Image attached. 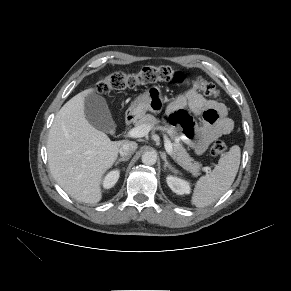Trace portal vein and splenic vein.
Returning a JSON list of instances; mask_svg holds the SVG:
<instances>
[{
    "instance_id": "1",
    "label": "portal vein and splenic vein",
    "mask_w": 291,
    "mask_h": 291,
    "mask_svg": "<svg viewBox=\"0 0 291 291\" xmlns=\"http://www.w3.org/2000/svg\"><path fill=\"white\" fill-rule=\"evenodd\" d=\"M150 130H151V127L146 126V125H140V126L130 129L127 133V136L131 138L144 137L149 133ZM165 150L169 155H172L173 144L171 143L170 139L167 136H165ZM207 170H210V169L206 168V171Z\"/></svg>"
}]
</instances>
